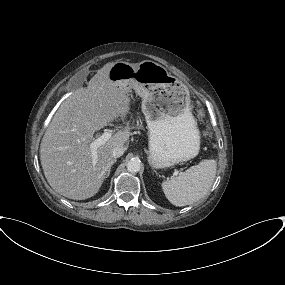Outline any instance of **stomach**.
I'll return each instance as SVG.
<instances>
[{
  "instance_id": "0dacf381",
  "label": "stomach",
  "mask_w": 285,
  "mask_h": 285,
  "mask_svg": "<svg viewBox=\"0 0 285 285\" xmlns=\"http://www.w3.org/2000/svg\"><path fill=\"white\" fill-rule=\"evenodd\" d=\"M108 78L133 89L142 98L152 168L170 167L199 153L200 133L189 90L164 66L151 60L137 64L118 61L109 69Z\"/></svg>"
}]
</instances>
